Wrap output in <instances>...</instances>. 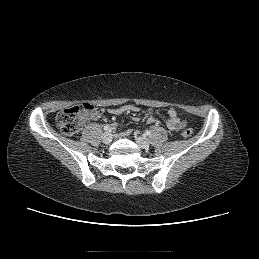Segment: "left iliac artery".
<instances>
[{"label": "left iliac artery", "mask_w": 259, "mask_h": 259, "mask_svg": "<svg viewBox=\"0 0 259 259\" xmlns=\"http://www.w3.org/2000/svg\"><path fill=\"white\" fill-rule=\"evenodd\" d=\"M145 134H146V135H150L151 132H150L149 130H146Z\"/></svg>", "instance_id": "left-iliac-artery-1"}]
</instances>
